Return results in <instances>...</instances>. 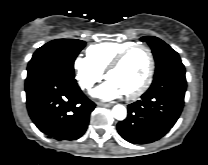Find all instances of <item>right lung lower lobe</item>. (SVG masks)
<instances>
[{
    "instance_id": "98d812e1",
    "label": "right lung lower lobe",
    "mask_w": 208,
    "mask_h": 165,
    "mask_svg": "<svg viewBox=\"0 0 208 165\" xmlns=\"http://www.w3.org/2000/svg\"><path fill=\"white\" fill-rule=\"evenodd\" d=\"M25 91L29 116L48 138L75 140L85 133L96 105L74 77L46 71L26 80Z\"/></svg>"
}]
</instances>
